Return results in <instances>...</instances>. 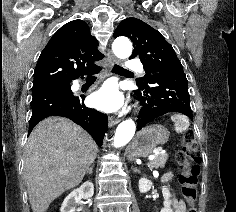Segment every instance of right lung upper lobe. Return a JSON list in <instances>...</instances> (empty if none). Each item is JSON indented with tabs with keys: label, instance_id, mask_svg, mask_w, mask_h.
Wrapping results in <instances>:
<instances>
[{
	"label": "right lung upper lobe",
	"instance_id": "1",
	"mask_svg": "<svg viewBox=\"0 0 236 212\" xmlns=\"http://www.w3.org/2000/svg\"><path fill=\"white\" fill-rule=\"evenodd\" d=\"M98 41L91 36L88 25L73 20L62 26L41 52L34 71L33 85L69 84L89 73L95 61L104 55L97 49Z\"/></svg>",
	"mask_w": 236,
	"mask_h": 212
}]
</instances>
